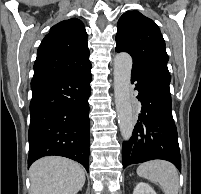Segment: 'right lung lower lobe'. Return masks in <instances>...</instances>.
Listing matches in <instances>:
<instances>
[{"label": "right lung lower lobe", "mask_w": 201, "mask_h": 194, "mask_svg": "<svg viewBox=\"0 0 201 194\" xmlns=\"http://www.w3.org/2000/svg\"><path fill=\"white\" fill-rule=\"evenodd\" d=\"M90 70L32 79L28 166L41 157L58 155L88 171Z\"/></svg>", "instance_id": "98d812e1"}]
</instances>
